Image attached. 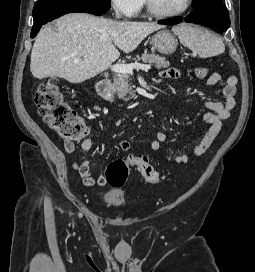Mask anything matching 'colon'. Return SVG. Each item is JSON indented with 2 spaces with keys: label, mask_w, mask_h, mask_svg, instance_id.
Segmentation results:
<instances>
[{
  "label": "colon",
  "mask_w": 255,
  "mask_h": 272,
  "mask_svg": "<svg viewBox=\"0 0 255 272\" xmlns=\"http://www.w3.org/2000/svg\"><path fill=\"white\" fill-rule=\"evenodd\" d=\"M209 70V66H200L195 69V74L197 78L204 79ZM34 101L39 114L66 146H74L88 135V127L64 99L57 79L50 78L42 82L35 93ZM130 165L138 170L146 182L150 184L160 182V173L146 156H131L128 161L117 159L110 162L106 170L107 182L113 187L123 186Z\"/></svg>",
  "instance_id": "1"
}]
</instances>
